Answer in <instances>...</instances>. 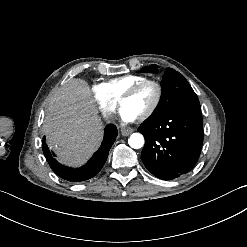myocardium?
I'll return each instance as SVG.
<instances>
[{
    "instance_id": "myocardium-1",
    "label": "myocardium",
    "mask_w": 247,
    "mask_h": 247,
    "mask_svg": "<svg viewBox=\"0 0 247 247\" xmlns=\"http://www.w3.org/2000/svg\"><path fill=\"white\" fill-rule=\"evenodd\" d=\"M146 85H151L154 87L155 97H154V100H153V103H152L150 110L145 115H143L141 117V120H143V121L152 118L155 115L156 111L158 110V108L161 104L162 97H163V88H162L161 84L156 80L145 79V80L141 81L140 83H138L136 86H134L129 92H127L126 94L123 95L126 100H131ZM120 104H121V101H119V105Z\"/></svg>"
}]
</instances>
